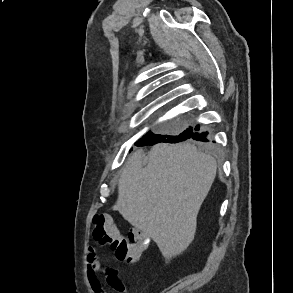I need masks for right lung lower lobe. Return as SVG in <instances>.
Masks as SVG:
<instances>
[{
	"label": "right lung lower lobe",
	"instance_id": "1",
	"mask_svg": "<svg viewBox=\"0 0 293 293\" xmlns=\"http://www.w3.org/2000/svg\"><path fill=\"white\" fill-rule=\"evenodd\" d=\"M206 135L207 133H200L199 127L197 126L194 129L188 128L185 131H183L181 134L176 136L156 135L151 132H148L143 138H141L136 143V145L138 146L154 145L160 142L177 143L189 138H192L197 141H207Z\"/></svg>",
	"mask_w": 293,
	"mask_h": 293
}]
</instances>
